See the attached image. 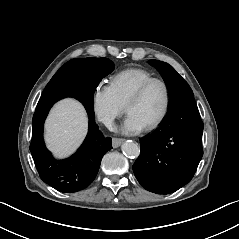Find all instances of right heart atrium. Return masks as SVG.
Listing matches in <instances>:
<instances>
[{
  "label": "right heart atrium",
  "instance_id": "right-heart-atrium-1",
  "mask_svg": "<svg viewBox=\"0 0 239 239\" xmlns=\"http://www.w3.org/2000/svg\"><path fill=\"white\" fill-rule=\"evenodd\" d=\"M91 101L94 114L108 127H112L116 118L121 116L126 109L110 84H96L92 91Z\"/></svg>",
  "mask_w": 239,
  "mask_h": 239
}]
</instances>
